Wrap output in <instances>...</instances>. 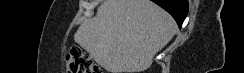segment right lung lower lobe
Listing matches in <instances>:
<instances>
[{
  "mask_svg": "<svg viewBox=\"0 0 244 73\" xmlns=\"http://www.w3.org/2000/svg\"><path fill=\"white\" fill-rule=\"evenodd\" d=\"M169 12L181 28L188 13V0H151Z\"/></svg>",
  "mask_w": 244,
  "mask_h": 73,
  "instance_id": "98d812e1",
  "label": "right lung lower lobe"
}]
</instances>
